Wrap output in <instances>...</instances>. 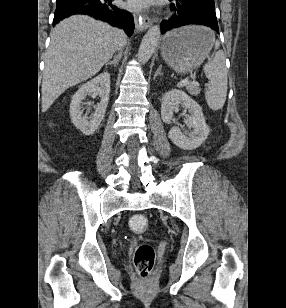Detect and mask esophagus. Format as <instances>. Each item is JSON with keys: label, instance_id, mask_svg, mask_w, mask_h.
<instances>
[{"label": "esophagus", "instance_id": "34e87169", "mask_svg": "<svg viewBox=\"0 0 286 308\" xmlns=\"http://www.w3.org/2000/svg\"><path fill=\"white\" fill-rule=\"evenodd\" d=\"M137 31H144L152 25V19L147 14L134 15Z\"/></svg>", "mask_w": 286, "mask_h": 308}]
</instances>
